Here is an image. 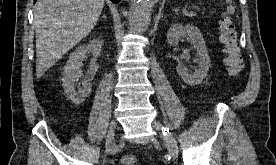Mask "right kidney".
<instances>
[{
    "label": "right kidney",
    "instance_id": "1",
    "mask_svg": "<svg viewBox=\"0 0 276 165\" xmlns=\"http://www.w3.org/2000/svg\"><path fill=\"white\" fill-rule=\"evenodd\" d=\"M101 41L93 39L88 45H82L76 48L69 56V59L64 66L62 85L65 95L72 103L79 105L85 101L90 95L92 84L89 80L82 82V88L76 91V81L82 76L81 67L85 59V54L91 52L94 56H99L101 53Z\"/></svg>",
    "mask_w": 276,
    "mask_h": 165
}]
</instances>
